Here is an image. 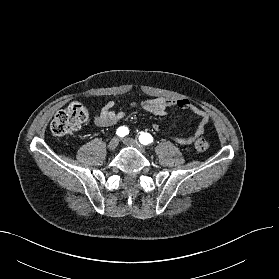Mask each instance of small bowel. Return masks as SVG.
<instances>
[{
    "mask_svg": "<svg viewBox=\"0 0 279 279\" xmlns=\"http://www.w3.org/2000/svg\"><path fill=\"white\" fill-rule=\"evenodd\" d=\"M115 103L114 101L107 102L101 110L96 113L93 117V123L98 127H110L116 125L120 120L125 117L124 111L114 110ZM132 107L140 106L144 111L155 115L162 116L167 114L169 108L177 107L189 111L190 113L199 117V123L190 136L186 137H177L172 136L171 139L182 146H188L192 144L196 139L201 137L205 130V125L209 121V115L206 111L192 103L187 99H174L167 97H157L154 99H149L137 104L133 102ZM153 130L159 131L160 126L158 124L153 125Z\"/></svg>",
    "mask_w": 279,
    "mask_h": 279,
    "instance_id": "1",
    "label": "small bowel"
}]
</instances>
